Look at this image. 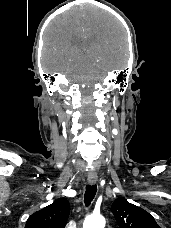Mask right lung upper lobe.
I'll return each mask as SVG.
<instances>
[{
    "mask_svg": "<svg viewBox=\"0 0 171 228\" xmlns=\"http://www.w3.org/2000/svg\"><path fill=\"white\" fill-rule=\"evenodd\" d=\"M70 212L65 199H58L51 205L32 214L25 228H64Z\"/></svg>",
    "mask_w": 171,
    "mask_h": 228,
    "instance_id": "cb5924a9",
    "label": "right lung upper lobe"
}]
</instances>
